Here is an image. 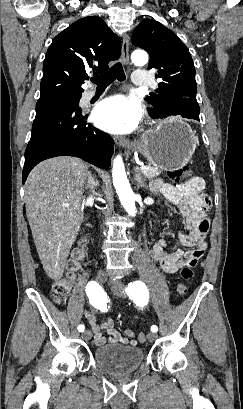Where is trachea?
Instances as JSON below:
<instances>
[{
    "label": "trachea",
    "mask_w": 243,
    "mask_h": 409,
    "mask_svg": "<svg viewBox=\"0 0 243 409\" xmlns=\"http://www.w3.org/2000/svg\"><path fill=\"white\" fill-rule=\"evenodd\" d=\"M126 78L122 64L120 62L113 65L106 73L102 75H95L91 81L97 87H105L110 85L114 80L124 81Z\"/></svg>",
    "instance_id": "1"
}]
</instances>
